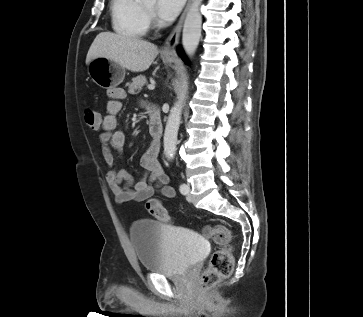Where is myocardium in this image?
Listing matches in <instances>:
<instances>
[{"instance_id":"f54148a6","label":"myocardium","mask_w":363,"mask_h":317,"mask_svg":"<svg viewBox=\"0 0 363 317\" xmlns=\"http://www.w3.org/2000/svg\"><path fill=\"white\" fill-rule=\"evenodd\" d=\"M142 7H143V10H144V12H145V14H146L147 17H149V18H153L154 17L153 10L148 9L144 4H142Z\"/></svg>"}]
</instances>
